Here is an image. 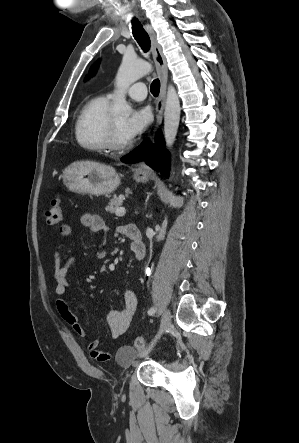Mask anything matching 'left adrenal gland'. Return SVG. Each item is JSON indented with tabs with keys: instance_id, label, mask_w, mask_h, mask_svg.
Returning <instances> with one entry per match:
<instances>
[{
	"instance_id": "1",
	"label": "left adrenal gland",
	"mask_w": 299,
	"mask_h": 443,
	"mask_svg": "<svg viewBox=\"0 0 299 443\" xmlns=\"http://www.w3.org/2000/svg\"><path fill=\"white\" fill-rule=\"evenodd\" d=\"M151 217H152V215L150 214V215H149V218H151Z\"/></svg>"
}]
</instances>
